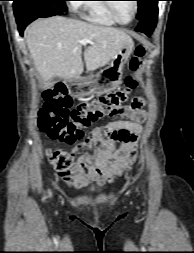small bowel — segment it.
I'll return each mask as SVG.
<instances>
[{"label": "small bowel", "mask_w": 194, "mask_h": 253, "mask_svg": "<svg viewBox=\"0 0 194 253\" xmlns=\"http://www.w3.org/2000/svg\"><path fill=\"white\" fill-rule=\"evenodd\" d=\"M143 104V99L135 98L131 105L114 113L122 119L93 128L83 142L71 149L70 155H78L82 149L91 152L81 154L59 177L73 188H82L91 183L103 185L121 176L136 160L138 139L147 118Z\"/></svg>", "instance_id": "small-bowel-1"}]
</instances>
